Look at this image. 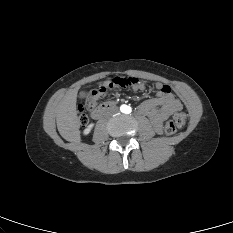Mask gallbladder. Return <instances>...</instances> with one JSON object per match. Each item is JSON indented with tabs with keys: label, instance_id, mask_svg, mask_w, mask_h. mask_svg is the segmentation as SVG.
Segmentation results:
<instances>
[{
	"label": "gallbladder",
	"instance_id": "obj_1",
	"mask_svg": "<svg viewBox=\"0 0 233 233\" xmlns=\"http://www.w3.org/2000/svg\"><path fill=\"white\" fill-rule=\"evenodd\" d=\"M80 97H81V98H84V97H85V92H84V91H82V92L80 93Z\"/></svg>",
	"mask_w": 233,
	"mask_h": 233
}]
</instances>
